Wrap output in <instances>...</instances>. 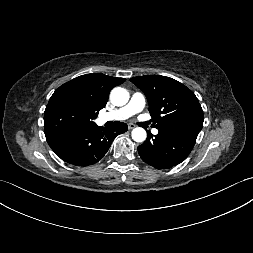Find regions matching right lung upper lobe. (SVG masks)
I'll use <instances>...</instances> for the list:
<instances>
[{"mask_svg": "<svg viewBox=\"0 0 253 253\" xmlns=\"http://www.w3.org/2000/svg\"><path fill=\"white\" fill-rule=\"evenodd\" d=\"M125 78L106 76L101 73L86 74L63 84L56 91H65L76 96L94 113L104 108L112 88L122 84Z\"/></svg>", "mask_w": 253, "mask_h": 253, "instance_id": "obj_1", "label": "right lung upper lobe"}]
</instances>
